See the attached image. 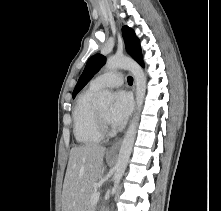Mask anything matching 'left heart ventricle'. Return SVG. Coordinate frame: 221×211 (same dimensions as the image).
Returning a JSON list of instances; mask_svg holds the SVG:
<instances>
[{"mask_svg":"<svg viewBox=\"0 0 221 211\" xmlns=\"http://www.w3.org/2000/svg\"><path fill=\"white\" fill-rule=\"evenodd\" d=\"M99 110L101 114L107 119L109 113V107H100Z\"/></svg>","mask_w":221,"mask_h":211,"instance_id":"b2bd125f","label":"left heart ventricle"}]
</instances>
